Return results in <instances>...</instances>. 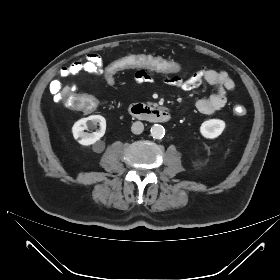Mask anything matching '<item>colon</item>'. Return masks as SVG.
I'll use <instances>...</instances> for the list:
<instances>
[{"label":"colon","instance_id":"5ec220e1","mask_svg":"<svg viewBox=\"0 0 280 280\" xmlns=\"http://www.w3.org/2000/svg\"><path fill=\"white\" fill-rule=\"evenodd\" d=\"M138 68L150 69L156 73H166L169 76H177L182 72L183 65L179 61L160 56L130 54L117 59L111 65L105 66L103 69L104 80L108 84H113L123 71ZM70 73V67L61 71L62 75ZM50 90L57 99L62 100L63 104L73 111L89 113L95 111L98 107V102L94 95L78 96L79 89L74 84L64 86L59 81H55L51 83ZM234 113L237 116H243L246 113V109L242 105H237L234 107Z\"/></svg>","mask_w":280,"mask_h":280}]
</instances>
